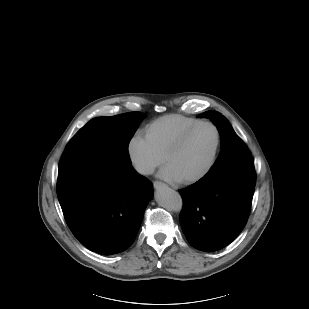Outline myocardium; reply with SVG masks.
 Instances as JSON below:
<instances>
[{
  "instance_id": "1",
  "label": "myocardium",
  "mask_w": 309,
  "mask_h": 309,
  "mask_svg": "<svg viewBox=\"0 0 309 309\" xmlns=\"http://www.w3.org/2000/svg\"><path fill=\"white\" fill-rule=\"evenodd\" d=\"M211 126L215 132H216V143H215V147L212 153V156L208 162V164L205 166V168L200 171L198 174L191 176V177H186L183 178L181 180L182 183L184 184H192L195 182L200 181L201 179H203L204 177H206L211 170L213 169L217 157H218V153H219V149L221 146V141H222V134H221V130L219 128V126L209 120H200L197 123L193 124L192 126H190L189 128H187L182 134H180L176 140L172 143V145L170 146V148L168 149L166 155H165V162L168 163V161L178 152V150L183 146V144L188 140V138L190 137V135L199 127L201 126Z\"/></svg>"
}]
</instances>
